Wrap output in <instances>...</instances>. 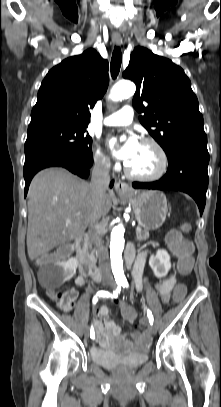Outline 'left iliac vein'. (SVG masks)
<instances>
[{"label":"left iliac vein","mask_w":221,"mask_h":407,"mask_svg":"<svg viewBox=\"0 0 221 407\" xmlns=\"http://www.w3.org/2000/svg\"><path fill=\"white\" fill-rule=\"evenodd\" d=\"M151 333L152 334H156V327L155 326H151Z\"/></svg>","instance_id":"1"}]
</instances>
